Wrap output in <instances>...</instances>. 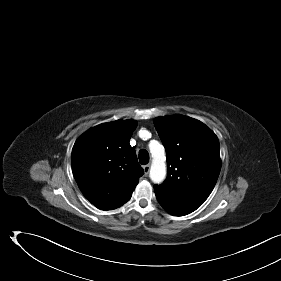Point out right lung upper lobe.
<instances>
[{"label":"right lung upper lobe","instance_id":"1","mask_svg":"<svg viewBox=\"0 0 281 281\" xmlns=\"http://www.w3.org/2000/svg\"><path fill=\"white\" fill-rule=\"evenodd\" d=\"M137 122L117 120L91 128L72 150V171L84 196L100 210L130 200L144 174L129 141Z\"/></svg>","mask_w":281,"mask_h":281}]
</instances>
